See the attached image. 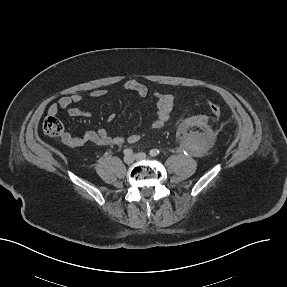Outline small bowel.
Here are the masks:
<instances>
[{
  "mask_svg": "<svg viewBox=\"0 0 287 287\" xmlns=\"http://www.w3.org/2000/svg\"><path fill=\"white\" fill-rule=\"evenodd\" d=\"M124 88L127 91L133 92L140 97H146L149 94L148 88L134 80L128 79L124 83ZM107 93L104 89L94 90L89 94V98L95 99L104 96ZM156 101V118L151 124L153 129L162 128L173 111L175 104V97L171 93H161L155 91L152 93ZM86 100L81 94H73L70 96H64L60 98L58 103L50 105L48 113L50 115H56L60 110L66 111L72 117H89L91 112L85 109L76 107V104L82 103ZM110 119H113L111 117ZM142 135L132 134L128 136H113L106 129H99L94 131H88L83 135L77 136L70 132H64L62 135V141L70 147H81L88 143H92L98 146H113L121 144H133L141 139Z\"/></svg>",
  "mask_w": 287,
  "mask_h": 287,
  "instance_id": "small-bowel-1",
  "label": "small bowel"
}]
</instances>
